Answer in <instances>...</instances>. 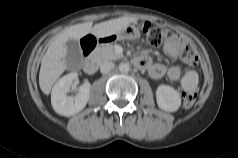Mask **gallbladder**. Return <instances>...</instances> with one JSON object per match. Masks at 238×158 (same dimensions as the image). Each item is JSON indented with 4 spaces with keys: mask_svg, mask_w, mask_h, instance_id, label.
Masks as SVG:
<instances>
[{
    "mask_svg": "<svg viewBox=\"0 0 238 158\" xmlns=\"http://www.w3.org/2000/svg\"><path fill=\"white\" fill-rule=\"evenodd\" d=\"M67 55L66 62L70 67H79L83 62L80 45L77 40L69 39L66 42Z\"/></svg>",
    "mask_w": 238,
    "mask_h": 158,
    "instance_id": "obj_1",
    "label": "gallbladder"
}]
</instances>
